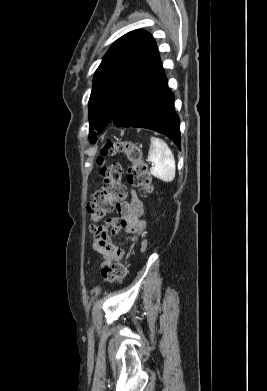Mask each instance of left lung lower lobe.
<instances>
[{
	"label": "left lung lower lobe",
	"instance_id": "obj_1",
	"mask_svg": "<svg viewBox=\"0 0 267 391\" xmlns=\"http://www.w3.org/2000/svg\"><path fill=\"white\" fill-rule=\"evenodd\" d=\"M174 99L159 60L127 94L111 121L118 127L147 128L164 134L180 149Z\"/></svg>",
	"mask_w": 267,
	"mask_h": 391
}]
</instances>
